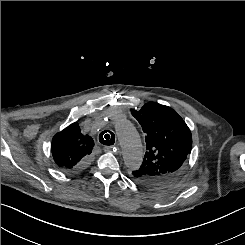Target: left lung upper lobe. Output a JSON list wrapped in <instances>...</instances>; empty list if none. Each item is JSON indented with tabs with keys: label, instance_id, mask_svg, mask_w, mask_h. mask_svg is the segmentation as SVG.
I'll use <instances>...</instances> for the list:
<instances>
[{
	"label": "left lung upper lobe",
	"instance_id": "5c2ea615",
	"mask_svg": "<svg viewBox=\"0 0 245 245\" xmlns=\"http://www.w3.org/2000/svg\"><path fill=\"white\" fill-rule=\"evenodd\" d=\"M146 134V153L132 178L140 185L157 188L181 171L191 153L192 135L184 120L168 106L150 102L139 111L131 109Z\"/></svg>",
	"mask_w": 245,
	"mask_h": 245
}]
</instances>
